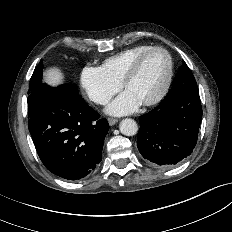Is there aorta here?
<instances>
[{"label": "aorta", "mask_w": 232, "mask_h": 232, "mask_svg": "<svg viewBox=\"0 0 232 232\" xmlns=\"http://www.w3.org/2000/svg\"><path fill=\"white\" fill-rule=\"evenodd\" d=\"M119 127H120L121 133L126 136H133L138 131L137 123L133 119H130V118L123 119L120 122Z\"/></svg>", "instance_id": "1"}]
</instances>
